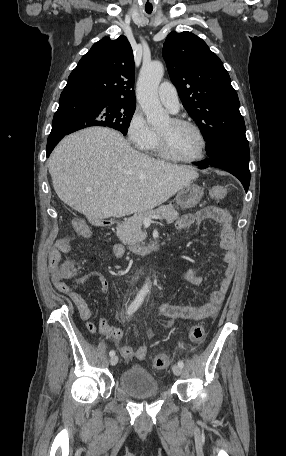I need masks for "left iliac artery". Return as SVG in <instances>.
Segmentation results:
<instances>
[{
    "instance_id": "44dca946",
    "label": "left iliac artery",
    "mask_w": 286,
    "mask_h": 456,
    "mask_svg": "<svg viewBox=\"0 0 286 456\" xmlns=\"http://www.w3.org/2000/svg\"><path fill=\"white\" fill-rule=\"evenodd\" d=\"M178 365H179L181 368H183V367H184V362L181 361V360H179V361H178Z\"/></svg>"
}]
</instances>
